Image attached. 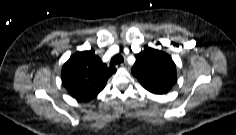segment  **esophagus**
<instances>
[{"label":"esophagus","mask_w":236,"mask_h":135,"mask_svg":"<svg viewBox=\"0 0 236 135\" xmlns=\"http://www.w3.org/2000/svg\"><path fill=\"white\" fill-rule=\"evenodd\" d=\"M121 66L124 68H129V65L127 64V62L122 63Z\"/></svg>","instance_id":"1"}]
</instances>
